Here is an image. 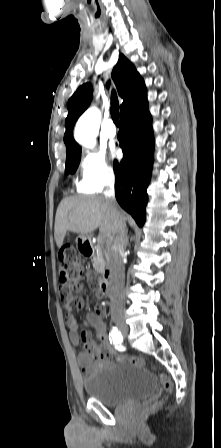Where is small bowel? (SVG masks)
Masks as SVG:
<instances>
[{"label": "small bowel", "instance_id": "1", "mask_svg": "<svg viewBox=\"0 0 221 448\" xmlns=\"http://www.w3.org/2000/svg\"><path fill=\"white\" fill-rule=\"evenodd\" d=\"M63 306L66 310V325L70 329L71 340L83 345L81 352L78 354L77 360L83 374L91 373L108 362L111 358L116 361H124L123 357L114 354L110 348L109 339L107 337L106 328L102 321L105 314L103 306L99 305L93 312L85 314V322L89 325L91 331L99 339L103 345L100 349L97 344L91 340L90 333L87 330H80L79 323L73 315V306L82 308L84 306V299L80 295L67 292L63 295Z\"/></svg>", "mask_w": 221, "mask_h": 448}]
</instances>
